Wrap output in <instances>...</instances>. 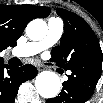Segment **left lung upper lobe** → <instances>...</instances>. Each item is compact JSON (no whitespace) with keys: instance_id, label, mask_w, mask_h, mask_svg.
I'll use <instances>...</instances> for the list:
<instances>
[{"instance_id":"1","label":"left lung upper lobe","mask_w":103,"mask_h":103,"mask_svg":"<svg viewBox=\"0 0 103 103\" xmlns=\"http://www.w3.org/2000/svg\"><path fill=\"white\" fill-rule=\"evenodd\" d=\"M57 14L64 20V34L60 45L52 49L51 61L64 70H70L90 60H103L99 40L86 21L61 8L57 9Z\"/></svg>"}]
</instances>
